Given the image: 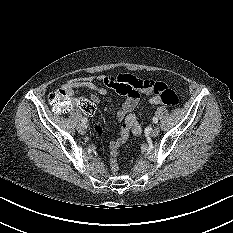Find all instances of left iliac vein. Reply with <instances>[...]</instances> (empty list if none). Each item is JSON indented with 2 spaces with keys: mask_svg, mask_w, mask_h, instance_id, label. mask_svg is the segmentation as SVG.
<instances>
[{
  "mask_svg": "<svg viewBox=\"0 0 233 233\" xmlns=\"http://www.w3.org/2000/svg\"><path fill=\"white\" fill-rule=\"evenodd\" d=\"M159 132H160V128L158 126H154L153 129L150 132V135L152 137H156V136L159 135Z\"/></svg>",
  "mask_w": 233,
  "mask_h": 233,
  "instance_id": "4c4485c4",
  "label": "left iliac vein"
}]
</instances>
